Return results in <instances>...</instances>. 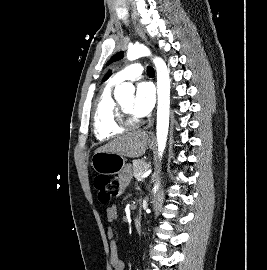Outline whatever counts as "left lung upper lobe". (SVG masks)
Listing matches in <instances>:
<instances>
[{
  "mask_svg": "<svg viewBox=\"0 0 267 270\" xmlns=\"http://www.w3.org/2000/svg\"><path fill=\"white\" fill-rule=\"evenodd\" d=\"M123 57V52L116 53L108 62V65L114 61H117Z\"/></svg>",
  "mask_w": 267,
  "mask_h": 270,
  "instance_id": "5c2ea615",
  "label": "left lung upper lobe"
}]
</instances>
